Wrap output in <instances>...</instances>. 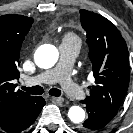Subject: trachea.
Returning a JSON list of instances; mask_svg holds the SVG:
<instances>
[{"mask_svg":"<svg viewBox=\"0 0 133 133\" xmlns=\"http://www.w3.org/2000/svg\"><path fill=\"white\" fill-rule=\"evenodd\" d=\"M24 91L32 94V95H41L44 92V89L41 86H33V87H21ZM49 94L55 97H59L61 95V91L56 88H52L49 90Z\"/></svg>","mask_w":133,"mask_h":133,"instance_id":"trachea-1","label":"trachea"}]
</instances>
